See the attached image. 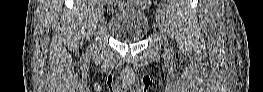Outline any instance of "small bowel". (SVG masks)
<instances>
[{"instance_id": "c3829d8e", "label": "small bowel", "mask_w": 263, "mask_h": 92, "mask_svg": "<svg viewBox=\"0 0 263 92\" xmlns=\"http://www.w3.org/2000/svg\"><path fill=\"white\" fill-rule=\"evenodd\" d=\"M148 2H149V1H140V0L135 1V3H137V4H139V5H142V6L146 5Z\"/></svg>"}]
</instances>
